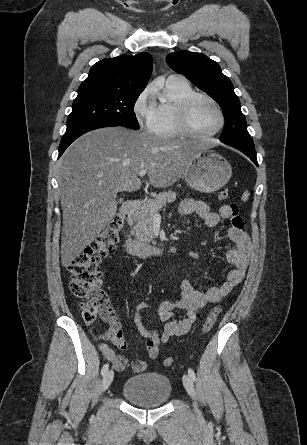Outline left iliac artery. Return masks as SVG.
I'll list each match as a JSON object with an SVG mask.
<instances>
[{
    "label": "left iliac artery",
    "mask_w": 307,
    "mask_h": 445,
    "mask_svg": "<svg viewBox=\"0 0 307 445\" xmlns=\"http://www.w3.org/2000/svg\"><path fill=\"white\" fill-rule=\"evenodd\" d=\"M188 375L190 376V378H191L193 381L196 380L195 373H194V371H193L191 368L188 369Z\"/></svg>",
    "instance_id": "44dca946"
}]
</instances>
